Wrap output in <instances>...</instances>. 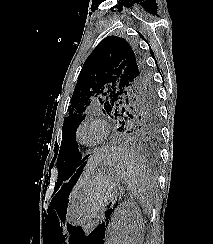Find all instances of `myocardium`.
Segmentation results:
<instances>
[{
  "label": "myocardium",
  "mask_w": 213,
  "mask_h": 244,
  "mask_svg": "<svg viewBox=\"0 0 213 244\" xmlns=\"http://www.w3.org/2000/svg\"><path fill=\"white\" fill-rule=\"evenodd\" d=\"M89 125H97L99 128H100V131H101V135L100 137L95 140V141H92V142H87V141H84L82 138H81V132L82 130L86 127V126H89ZM109 135V124L108 122L100 117V116H87L85 119H83L79 125L77 126V129H76V133H75V136H76V139L77 141L82 144V145H86V146H97V145H100L101 143H103L107 137Z\"/></svg>",
  "instance_id": "f54148a6"
}]
</instances>
